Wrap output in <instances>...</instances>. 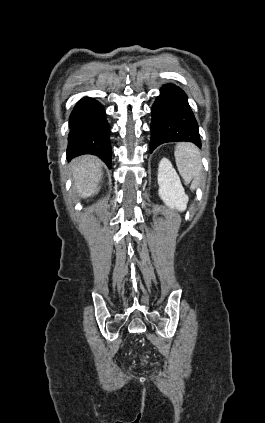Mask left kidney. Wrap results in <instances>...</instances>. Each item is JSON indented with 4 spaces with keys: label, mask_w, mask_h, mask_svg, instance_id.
<instances>
[{
    "label": "left kidney",
    "mask_w": 265,
    "mask_h": 423,
    "mask_svg": "<svg viewBox=\"0 0 265 423\" xmlns=\"http://www.w3.org/2000/svg\"><path fill=\"white\" fill-rule=\"evenodd\" d=\"M158 194L171 209L182 212L186 209L188 196L185 194L180 178L167 158H162L158 168Z\"/></svg>",
    "instance_id": "1"
}]
</instances>
